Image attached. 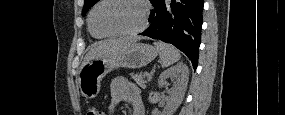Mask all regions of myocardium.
<instances>
[{
    "label": "myocardium",
    "mask_w": 285,
    "mask_h": 115,
    "mask_svg": "<svg viewBox=\"0 0 285 115\" xmlns=\"http://www.w3.org/2000/svg\"><path fill=\"white\" fill-rule=\"evenodd\" d=\"M107 1H113V0H102V1H100L99 3H97L92 8V10L89 14V17H88L89 26L94 33H96L100 36H104V37H121V36H134V35H137V34H139L145 30V28L147 27V24H148L149 8H148L146 1H144V0H124V1H130V2L137 4L141 9V18H142L141 19V25L137 29L131 30V31H126V32H111V31H103V30L98 29L94 23V14H95L96 10L101 5L106 3Z\"/></svg>",
    "instance_id": "f54148a6"
}]
</instances>
